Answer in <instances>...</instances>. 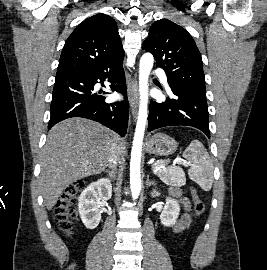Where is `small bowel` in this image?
Listing matches in <instances>:
<instances>
[{
	"label": "small bowel",
	"instance_id": "obj_1",
	"mask_svg": "<svg viewBox=\"0 0 267 270\" xmlns=\"http://www.w3.org/2000/svg\"><path fill=\"white\" fill-rule=\"evenodd\" d=\"M170 194L172 197H174L182 206L184 212L179 218V220L176 222V224L173 226V232L178 233L183 231L188 225L190 224V216L187 213L189 209V202L186 198H184L181 194V191L178 189H171Z\"/></svg>",
	"mask_w": 267,
	"mask_h": 270
}]
</instances>
